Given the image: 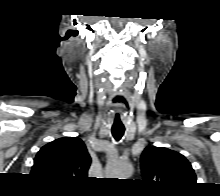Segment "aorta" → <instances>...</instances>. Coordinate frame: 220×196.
Here are the masks:
<instances>
[{"label":"aorta","mask_w":220,"mask_h":196,"mask_svg":"<svg viewBox=\"0 0 220 196\" xmlns=\"http://www.w3.org/2000/svg\"><path fill=\"white\" fill-rule=\"evenodd\" d=\"M133 172L132 164L124 160H114L107 165V174L118 179H127Z\"/></svg>","instance_id":"1"}]
</instances>
